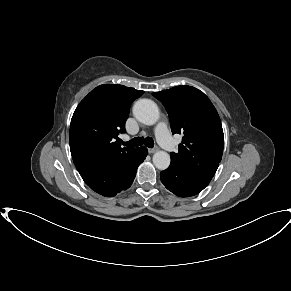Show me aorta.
I'll list each match as a JSON object with an SVG mask.
<instances>
[{"label": "aorta", "mask_w": 291, "mask_h": 291, "mask_svg": "<svg viewBox=\"0 0 291 291\" xmlns=\"http://www.w3.org/2000/svg\"><path fill=\"white\" fill-rule=\"evenodd\" d=\"M133 115L145 125H153L159 120V109L150 99H140L133 106ZM153 164L159 170H165L170 165V155L165 151H157L153 155Z\"/></svg>", "instance_id": "762f6f07"}]
</instances>
